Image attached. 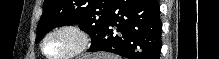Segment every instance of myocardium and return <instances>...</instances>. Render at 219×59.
<instances>
[{"instance_id": "obj_1", "label": "myocardium", "mask_w": 219, "mask_h": 59, "mask_svg": "<svg viewBox=\"0 0 219 59\" xmlns=\"http://www.w3.org/2000/svg\"><path fill=\"white\" fill-rule=\"evenodd\" d=\"M61 32H66L74 35L77 39V45L71 52L63 56H59V57L50 56L45 51V44L51 36ZM90 43H91L90 36L83 28H81L76 24L67 23V24L59 25L48 31L42 38V41L40 43V50L43 56H45L47 59H72L84 53L89 48Z\"/></svg>"}]
</instances>
